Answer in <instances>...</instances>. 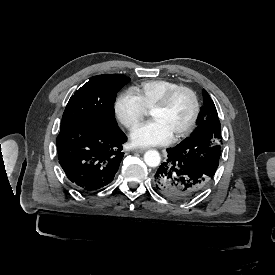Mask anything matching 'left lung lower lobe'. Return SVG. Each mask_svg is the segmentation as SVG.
Returning a JSON list of instances; mask_svg holds the SVG:
<instances>
[{
    "label": "left lung lower lobe",
    "instance_id": "1",
    "mask_svg": "<svg viewBox=\"0 0 275 275\" xmlns=\"http://www.w3.org/2000/svg\"><path fill=\"white\" fill-rule=\"evenodd\" d=\"M153 181L162 195L182 201L195 198L208 189L213 176L201 172L168 153L167 160L160 165Z\"/></svg>",
    "mask_w": 275,
    "mask_h": 275
}]
</instances>
